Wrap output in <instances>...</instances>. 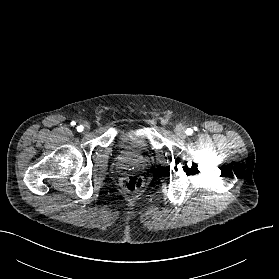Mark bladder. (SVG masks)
<instances>
[{
	"label": "bladder",
	"mask_w": 279,
	"mask_h": 279,
	"mask_svg": "<svg viewBox=\"0 0 279 279\" xmlns=\"http://www.w3.org/2000/svg\"><path fill=\"white\" fill-rule=\"evenodd\" d=\"M128 161H131V162H136L138 160V157L137 156H130L127 158Z\"/></svg>",
	"instance_id": "1"
}]
</instances>
